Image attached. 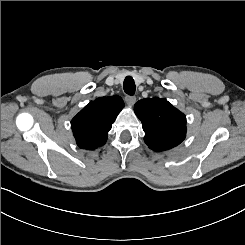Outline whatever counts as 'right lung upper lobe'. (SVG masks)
Wrapping results in <instances>:
<instances>
[{
  "label": "right lung upper lobe",
  "mask_w": 245,
  "mask_h": 245,
  "mask_svg": "<svg viewBox=\"0 0 245 245\" xmlns=\"http://www.w3.org/2000/svg\"><path fill=\"white\" fill-rule=\"evenodd\" d=\"M123 107L124 102L117 95L91 101L71 121L77 145L87 150L104 145L108 131Z\"/></svg>",
  "instance_id": "cb5924a9"
}]
</instances>
